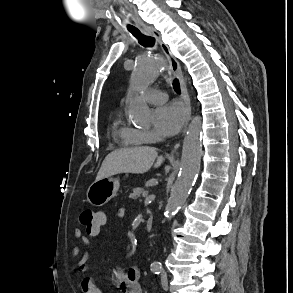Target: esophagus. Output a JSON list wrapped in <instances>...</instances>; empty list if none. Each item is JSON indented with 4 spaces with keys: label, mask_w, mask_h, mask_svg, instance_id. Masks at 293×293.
Segmentation results:
<instances>
[{
    "label": "esophagus",
    "mask_w": 293,
    "mask_h": 293,
    "mask_svg": "<svg viewBox=\"0 0 293 293\" xmlns=\"http://www.w3.org/2000/svg\"><path fill=\"white\" fill-rule=\"evenodd\" d=\"M142 30L145 34L151 35L157 40L161 49L166 54V56L170 62V67H171L173 74L175 76H177L180 81L181 94H182V98L184 100L186 110H187V120H186L185 129H184V130H186V127H187V125L190 121V118H191V102H190V97L188 94L186 82H185V79H184V76H183V73L181 70V66H180L178 60L173 56L169 46L161 40L159 33L152 26L145 25V26H143Z\"/></svg>",
    "instance_id": "1"
}]
</instances>
